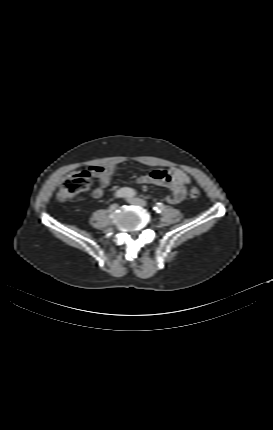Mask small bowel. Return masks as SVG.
Wrapping results in <instances>:
<instances>
[{
	"mask_svg": "<svg viewBox=\"0 0 273 430\" xmlns=\"http://www.w3.org/2000/svg\"><path fill=\"white\" fill-rule=\"evenodd\" d=\"M117 165L99 166L93 164L89 167V172L99 180V186L92 191L94 198H101L104 189L109 185L111 177L118 171ZM191 182L190 177L182 170L172 168L169 170L159 169L149 174L141 175L137 179L139 184H156L169 188L171 194L165 198L169 204H177L184 200L186 188Z\"/></svg>",
	"mask_w": 273,
	"mask_h": 430,
	"instance_id": "c3829d8e",
	"label": "small bowel"
}]
</instances>
